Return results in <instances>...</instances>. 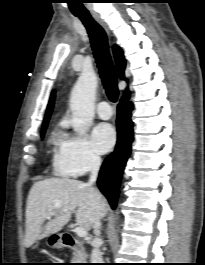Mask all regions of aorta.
<instances>
[{"label": "aorta", "instance_id": "762f6f07", "mask_svg": "<svg viewBox=\"0 0 205 265\" xmlns=\"http://www.w3.org/2000/svg\"><path fill=\"white\" fill-rule=\"evenodd\" d=\"M98 78L93 70L84 69L70 97L72 111V127L76 132L84 131L92 123L94 117L95 94Z\"/></svg>", "mask_w": 205, "mask_h": 265}]
</instances>
